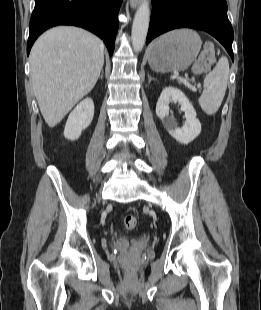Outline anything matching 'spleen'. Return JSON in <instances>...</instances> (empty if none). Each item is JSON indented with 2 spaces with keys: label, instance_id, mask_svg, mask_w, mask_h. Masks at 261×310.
<instances>
[{
  "label": "spleen",
  "instance_id": "obj_1",
  "mask_svg": "<svg viewBox=\"0 0 261 310\" xmlns=\"http://www.w3.org/2000/svg\"><path fill=\"white\" fill-rule=\"evenodd\" d=\"M229 79V62L221 57L215 68L210 71L203 82L204 90L198 99L199 105L207 115L215 114L225 96Z\"/></svg>",
  "mask_w": 261,
  "mask_h": 310
}]
</instances>
